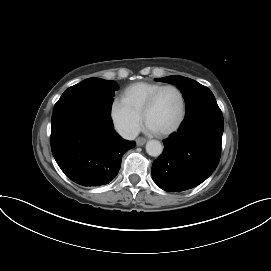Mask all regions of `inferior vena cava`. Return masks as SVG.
I'll use <instances>...</instances> for the list:
<instances>
[{"label": "inferior vena cava", "instance_id": "inferior-vena-cava-1", "mask_svg": "<svg viewBox=\"0 0 271 271\" xmlns=\"http://www.w3.org/2000/svg\"><path fill=\"white\" fill-rule=\"evenodd\" d=\"M138 130H126L122 133V137L127 140H134L138 136Z\"/></svg>", "mask_w": 271, "mask_h": 271}]
</instances>
